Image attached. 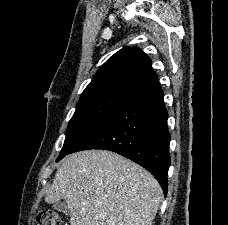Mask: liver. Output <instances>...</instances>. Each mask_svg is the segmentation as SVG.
I'll return each mask as SVG.
<instances>
[{
	"mask_svg": "<svg viewBox=\"0 0 228 225\" xmlns=\"http://www.w3.org/2000/svg\"><path fill=\"white\" fill-rule=\"evenodd\" d=\"M60 199L67 203L70 225H152L162 189L136 163L93 149L61 161L45 201Z\"/></svg>",
	"mask_w": 228,
	"mask_h": 225,
	"instance_id": "obj_1",
	"label": "liver"
}]
</instances>
